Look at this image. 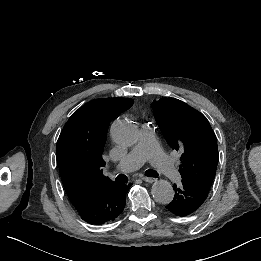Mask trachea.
I'll list each match as a JSON object with an SVG mask.
<instances>
[{"label":"trachea","mask_w":261,"mask_h":261,"mask_svg":"<svg viewBox=\"0 0 261 261\" xmlns=\"http://www.w3.org/2000/svg\"><path fill=\"white\" fill-rule=\"evenodd\" d=\"M145 175L149 177H158V173L153 169H147L145 171ZM115 181L117 183H126L129 181V177L127 175L120 174L116 177Z\"/></svg>","instance_id":"3493384b"}]
</instances>
